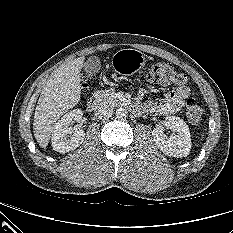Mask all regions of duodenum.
Returning <instances> with one entry per match:
<instances>
[{
  "instance_id": "obj_1",
  "label": "duodenum",
  "mask_w": 233,
  "mask_h": 233,
  "mask_svg": "<svg viewBox=\"0 0 233 233\" xmlns=\"http://www.w3.org/2000/svg\"><path fill=\"white\" fill-rule=\"evenodd\" d=\"M98 104H99L98 97L95 96V95H93L87 101V109L89 111H93V110H95L98 107ZM129 107L131 108V110L133 112H139L140 111V108L138 106H136V105L129 104Z\"/></svg>"
}]
</instances>
